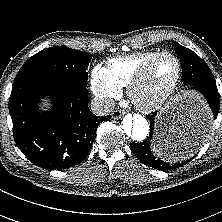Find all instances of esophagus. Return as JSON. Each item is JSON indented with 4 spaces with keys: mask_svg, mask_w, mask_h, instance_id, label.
<instances>
[{
    "mask_svg": "<svg viewBox=\"0 0 222 222\" xmlns=\"http://www.w3.org/2000/svg\"><path fill=\"white\" fill-rule=\"evenodd\" d=\"M124 114V111L117 109L112 112L113 119H119Z\"/></svg>",
    "mask_w": 222,
    "mask_h": 222,
    "instance_id": "esophagus-1",
    "label": "esophagus"
}]
</instances>
